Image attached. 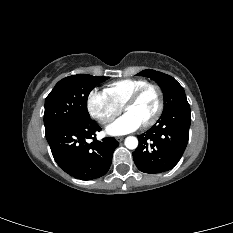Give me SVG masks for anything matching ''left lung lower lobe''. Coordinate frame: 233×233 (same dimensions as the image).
Here are the masks:
<instances>
[{
    "instance_id": "1",
    "label": "left lung lower lobe",
    "mask_w": 233,
    "mask_h": 233,
    "mask_svg": "<svg viewBox=\"0 0 233 233\" xmlns=\"http://www.w3.org/2000/svg\"><path fill=\"white\" fill-rule=\"evenodd\" d=\"M190 124L187 100L164 111L157 123L139 137V145L133 152L137 168L149 174L171 170L185 151Z\"/></svg>"
}]
</instances>
